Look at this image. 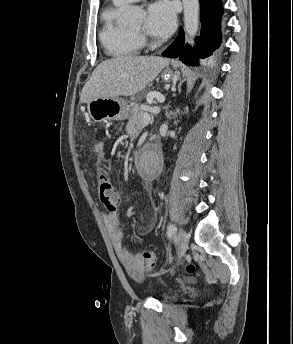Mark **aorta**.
Segmentation results:
<instances>
[{
  "mask_svg": "<svg viewBox=\"0 0 293 344\" xmlns=\"http://www.w3.org/2000/svg\"><path fill=\"white\" fill-rule=\"evenodd\" d=\"M184 27L186 34L189 37V42L192 43L197 35L199 29V0H182ZM143 11L139 7H133L125 13V21L127 23L135 22ZM156 155L153 152H144L138 162L139 171L145 173L155 165Z\"/></svg>",
  "mask_w": 293,
  "mask_h": 344,
  "instance_id": "1",
  "label": "aorta"
}]
</instances>
